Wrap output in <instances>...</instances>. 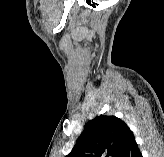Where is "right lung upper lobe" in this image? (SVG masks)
<instances>
[{
	"label": "right lung upper lobe",
	"instance_id": "cb5924a9",
	"mask_svg": "<svg viewBox=\"0 0 164 157\" xmlns=\"http://www.w3.org/2000/svg\"><path fill=\"white\" fill-rule=\"evenodd\" d=\"M133 132L115 116H98L90 120L66 157H121Z\"/></svg>",
	"mask_w": 164,
	"mask_h": 157
}]
</instances>
